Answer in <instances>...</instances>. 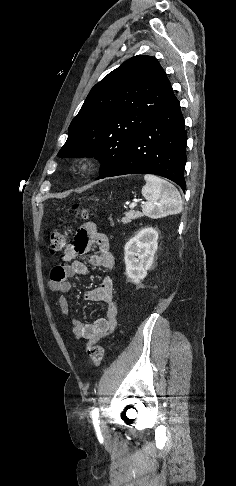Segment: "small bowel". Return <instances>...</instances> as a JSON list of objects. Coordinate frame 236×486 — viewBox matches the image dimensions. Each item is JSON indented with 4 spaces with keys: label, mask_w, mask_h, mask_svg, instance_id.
<instances>
[{
    "label": "small bowel",
    "mask_w": 236,
    "mask_h": 486,
    "mask_svg": "<svg viewBox=\"0 0 236 486\" xmlns=\"http://www.w3.org/2000/svg\"><path fill=\"white\" fill-rule=\"evenodd\" d=\"M93 245H97L99 251L90 257L91 263L98 268L111 270L114 267V258L109 250L108 237L98 232L96 224L91 221L79 228L74 242L65 248L62 261L51 270L49 287L52 291L61 293L59 306L64 317L73 314L70 307L72 290L70 279L88 273L87 264L79 257L88 252ZM84 299L101 302L105 307L104 316L92 323H82L75 318L72 319L73 335L78 339L86 340L89 349L98 340L110 334L116 326L118 308L113 296L112 279L105 277L97 288L85 292Z\"/></svg>",
    "instance_id": "1"
}]
</instances>
